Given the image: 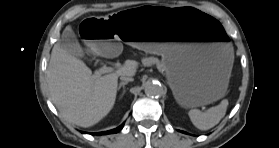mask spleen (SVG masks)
I'll use <instances>...</instances> for the list:
<instances>
[{"label": "spleen", "mask_w": 279, "mask_h": 148, "mask_svg": "<svg viewBox=\"0 0 279 148\" xmlns=\"http://www.w3.org/2000/svg\"><path fill=\"white\" fill-rule=\"evenodd\" d=\"M227 106L228 100L224 99L219 105L209 108L206 112L192 109L188 115L196 128L205 131L216 126L221 121L226 114Z\"/></svg>", "instance_id": "obj_1"}]
</instances>
